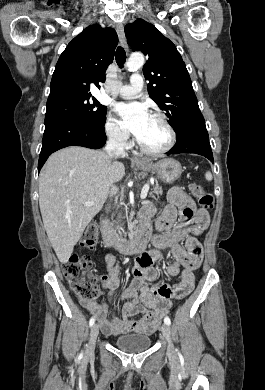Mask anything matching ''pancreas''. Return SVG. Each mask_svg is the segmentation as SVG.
Instances as JSON below:
<instances>
[{"label":"pancreas","instance_id":"cf45deb5","mask_svg":"<svg viewBox=\"0 0 265 390\" xmlns=\"http://www.w3.org/2000/svg\"><path fill=\"white\" fill-rule=\"evenodd\" d=\"M161 192V187L159 186L158 183L152 188V191L149 193L151 197H155V194H159Z\"/></svg>","mask_w":265,"mask_h":390}]
</instances>
